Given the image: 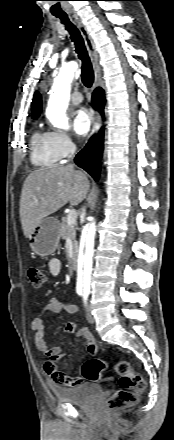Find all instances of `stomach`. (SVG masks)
<instances>
[{
  "mask_svg": "<svg viewBox=\"0 0 174 440\" xmlns=\"http://www.w3.org/2000/svg\"><path fill=\"white\" fill-rule=\"evenodd\" d=\"M59 240V221L54 217L44 218L29 236L30 247L39 256L54 253Z\"/></svg>",
  "mask_w": 174,
  "mask_h": 440,
  "instance_id": "0dacf381",
  "label": "stomach"
}]
</instances>
